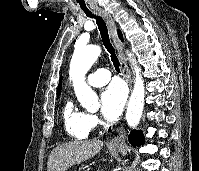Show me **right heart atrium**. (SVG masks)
I'll return each instance as SVG.
<instances>
[{
	"mask_svg": "<svg viewBox=\"0 0 199 171\" xmlns=\"http://www.w3.org/2000/svg\"><path fill=\"white\" fill-rule=\"evenodd\" d=\"M88 125L91 129L97 127L98 123H99V119L95 114H88Z\"/></svg>",
	"mask_w": 199,
	"mask_h": 171,
	"instance_id": "1",
	"label": "right heart atrium"
}]
</instances>
